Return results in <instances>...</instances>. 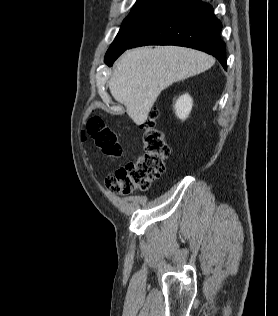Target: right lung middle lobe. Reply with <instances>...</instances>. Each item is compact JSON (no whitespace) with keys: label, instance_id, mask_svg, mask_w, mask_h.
<instances>
[{"label":"right lung middle lobe","instance_id":"1","mask_svg":"<svg viewBox=\"0 0 278 316\" xmlns=\"http://www.w3.org/2000/svg\"><path fill=\"white\" fill-rule=\"evenodd\" d=\"M169 1L137 0L110 45L105 55V61L125 51L155 21Z\"/></svg>","mask_w":278,"mask_h":316}]
</instances>
